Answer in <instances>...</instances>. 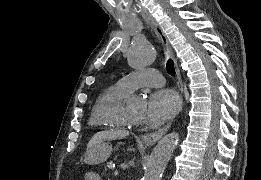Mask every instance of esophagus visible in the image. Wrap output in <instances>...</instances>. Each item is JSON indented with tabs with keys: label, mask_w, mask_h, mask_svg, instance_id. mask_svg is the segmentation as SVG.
Here are the masks:
<instances>
[{
	"label": "esophagus",
	"mask_w": 261,
	"mask_h": 180,
	"mask_svg": "<svg viewBox=\"0 0 261 180\" xmlns=\"http://www.w3.org/2000/svg\"><path fill=\"white\" fill-rule=\"evenodd\" d=\"M142 13L148 17L155 33L158 35V37L160 38V40L163 44L166 54H168L172 58V60L174 62V68H175L177 78L181 84V91H183V83H182V79H181L180 70L178 67V62H177L175 56L173 55L172 48L167 40L166 35L164 34V32L161 29L158 22H156L155 18L152 15H150V13H148L147 10H142ZM181 103H183L182 99H181ZM170 126H171V122H169L167 125H165V127L159 128V130H156V132L147 133L146 135H143L142 136L143 142L146 143L147 145H154L169 130Z\"/></svg>",
	"instance_id": "obj_1"
}]
</instances>
